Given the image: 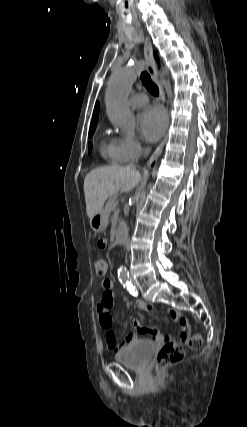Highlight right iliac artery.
Returning <instances> with one entry per match:
<instances>
[{
	"instance_id": "right-iliac-artery-1",
	"label": "right iliac artery",
	"mask_w": 247,
	"mask_h": 427,
	"mask_svg": "<svg viewBox=\"0 0 247 427\" xmlns=\"http://www.w3.org/2000/svg\"><path fill=\"white\" fill-rule=\"evenodd\" d=\"M119 281L121 282L123 287L126 288L132 295L134 296L138 295L137 290H135V287L131 283L129 273L120 275Z\"/></svg>"
}]
</instances>
